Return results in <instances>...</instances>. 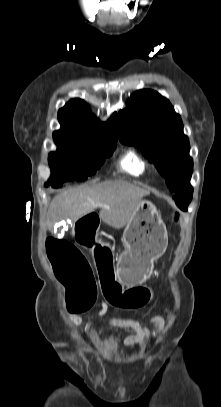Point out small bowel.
<instances>
[{"instance_id": "small-bowel-1", "label": "small bowel", "mask_w": 221, "mask_h": 407, "mask_svg": "<svg viewBox=\"0 0 221 407\" xmlns=\"http://www.w3.org/2000/svg\"><path fill=\"white\" fill-rule=\"evenodd\" d=\"M107 311V304L105 302H102L97 314L98 316H103L107 313ZM148 321L152 323L158 330H161L164 327V321L160 317H154L148 319ZM74 322L76 324H79L81 322V319L79 317H75ZM109 324L115 336V341L122 344L125 348L134 349L136 347L144 346L150 340V334L148 330L141 325V322L138 319L111 318ZM119 328H130L134 331V334L126 337L125 339H121L120 333L118 331Z\"/></svg>"}]
</instances>
